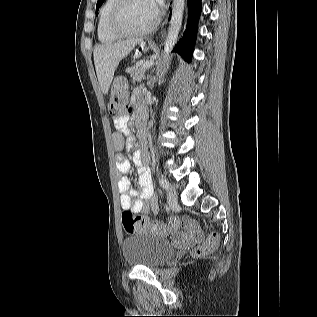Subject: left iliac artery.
<instances>
[{
    "label": "left iliac artery",
    "mask_w": 317,
    "mask_h": 317,
    "mask_svg": "<svg viewBox=\"0 0 317 317\" xmlns=\"http://www.w3.org/2000/svg\"><path fill=\"white\" fill-rule=\"evenodd\" d=\"M159 183L164 189H167L169 186V182L167 181L166 178H163V177L159 179Z\"/></svg>",
    "instance_id": "44dca946"
}]
</instances>
